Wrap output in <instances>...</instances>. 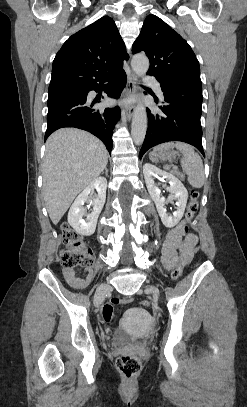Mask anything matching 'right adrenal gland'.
Here are the masks:
<instances>
[{
	"label": "right adrenal gland",
	"instance_id": "1",
	"mask_svg": "<svg viewBox=\"0 0 247 407\" xmlns=\"http://www.w3.org/2000/svg\"><path fill=\"white\" fill-rule=\"evenodd\" d=\"M102 174H105L106 176H108V169L105 168V172H102Z\"/></svg>",
	"mask_w": 247,
	"mask_h": 407
}]
</instances>
